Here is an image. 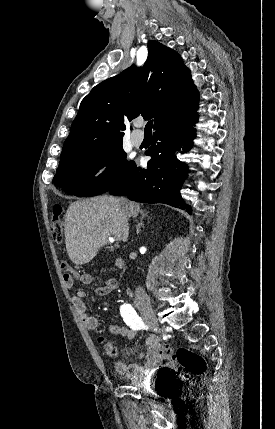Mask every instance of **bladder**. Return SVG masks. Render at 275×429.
Wrapping results in <instances>:
<instances>
[{
	"instance_id": "obj_1",
	"label": "bladder",
	"mask_w": 275,
	"mask_h": 429,
	"mask_svg": "<svg viewBox=\"0 0 275 429\" xmlns=\"http://www.w3.org/2000/svg\"><path fill=\"white\" fill-rule=\"evenodd\" d=\"M134 387H139L145 398H177L173 377H148L145 381H133Z\"/></svg>"
}]
</instances>
